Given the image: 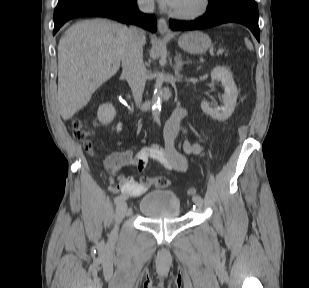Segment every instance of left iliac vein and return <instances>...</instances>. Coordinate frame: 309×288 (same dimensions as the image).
Wrapping results in <instances>:
<instances>
[{"mask_svg": "<svg viewBox=\"0 0 309 288\" xmlns=\"http://www.w3.org/2000/svg\"><path fill=\"white\" fill-rule=\"evenodd\" d=\"M194 203L199 208H201L203 206V200L202 199L195 200Z\"/></svg>", "mask_w": 309, "mask_h": 288, "instance_id": "left-iliac-vein-1", "label": "left iliac vein"}]
</instances>
